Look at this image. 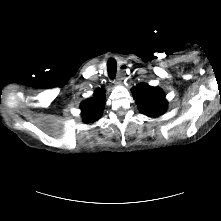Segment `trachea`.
Instances as JSON below:
<instances>
[{
  "label": "trachea",
  "instance_id": "trachea-1",
  "mask_svg": "<svg viewBox=\"0 0 221 221\" xmlns=\"http://www.w3.org/2000/svg\"><path fill=\"white\" fill-rule=\"evenodd\" d=\"M107 71H108L109 77L114 79L116 76V71H117V63L113 58L109 59L107 63Z\"/></svg>",
  "mask_w": 221,
  "mask_h": 221
}]
</instances>
